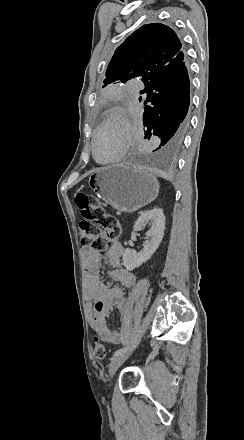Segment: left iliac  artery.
Returning a JSON list of instances; mask_svg holds the SVG:
<instances>
[{"label": "left iliac artery", "instance_id": "44dca946", "mask_svg": "<svg viewBox=\"0 0 244 440\" xmlns=\"http://www.w3.org/2000/svg\"><path fill=\"white\" fill-rule=\"evenodd\" d=\"M128 348H129V347H123V348H120V349L116 350V351L114 352V354H113V357H116V356H118V355H120V354L126 352V351L128 350Z\"/></svg>", "mask_w": 244, "mask_h": 440}]
</instances>
